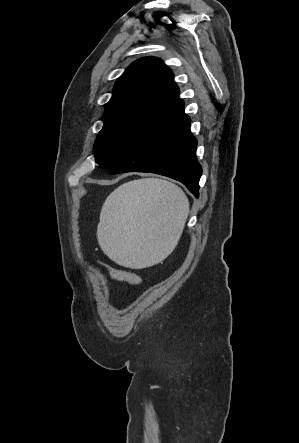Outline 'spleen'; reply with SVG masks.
I'll use <instances>...</instances> for the list:
<instances>
[{
	"label": "spleen",
	"instance_id": "spleen-1",
	"mask_svg": "<svg viewBox=\"0 0 299 443\" xmlns=\"http://www.w3.org/2000/svg\"><path fill=\"white\" fill-rule=\"evenodd\" d=\"M188 214L187 196L177 185L157 178L130 181L105 200L98 243L121 266L149 267L174 250Z\"/></svg>",
	"mask_w": 299,
	"mask_h": 443
}]
</instances>
